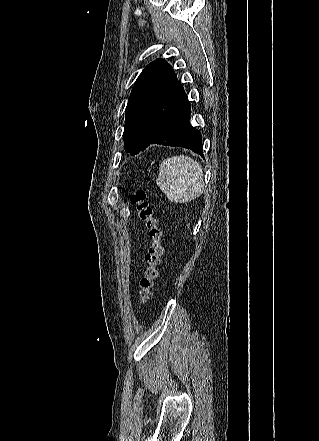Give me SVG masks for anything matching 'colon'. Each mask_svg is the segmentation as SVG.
Segmentation results:
<instances>
[{
  "label": "colon",
  "instance_id": "1",
  "mask_svg": "<svg viewBox=\"0 0 319 441\" xmlns=\"http://www.w3.org/2000/svg\"><path fill=\"white\" fill-rule=\"evenodd\" d=\"M131 202L136 206L138 220L147 229L152 245L146 255L147 267L140 280L139 306H145L152 298V289L159 275V266L164 253L162 246V230L158 226V220L154 215V209L147 200V194L143 190L132 193Z\"/></svg>",
  "mask_w": 319,
  "mask_h": 441
}]
</instances>
